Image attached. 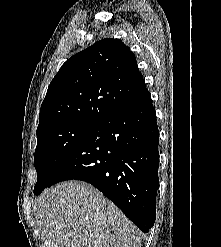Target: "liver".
Returning <instances> with one entry per match:
<instances>
[{
    "mask_svg": "<svg viewBox=\"0 0 221 247\" xmlns=\"http://www.w3.org/2000/svg\"><path fill=\"white\" fill-rule=\"evenodd\" d=\"M41 247H140L132 222L96 188L65 181L36 201Z\"/></svg>",
    "mask_w": 221,
    "mask_h": 247,
    "instance_id": "obj_1",
    "label": "liver"
}]
</instances>
